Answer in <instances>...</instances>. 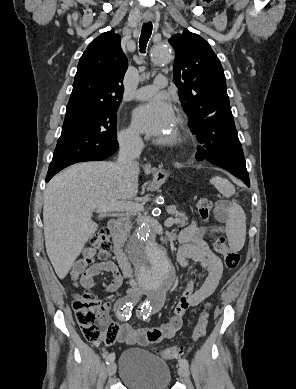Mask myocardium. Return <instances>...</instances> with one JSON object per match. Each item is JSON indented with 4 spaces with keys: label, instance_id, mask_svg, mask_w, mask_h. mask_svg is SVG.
Wrapping results in <instances>:
<instances>
[{
    "label": "myocardium",
    "instance_id": "myocardium-1",
    "mask_svg": "<svg viewBox=\"0 0 296 389\" xmlns=\"http://www.w3.org/2000/svg\"><path fill=\"white\" fill-rule=\"evenodd\" d=\"M181 139V120L179 118L174 119L173 126L170 133L162 137L159 141L163 144H174Z\"/></svg>",
    "mask_w": 296,
    "mask_h": 389
}]
</instances>
